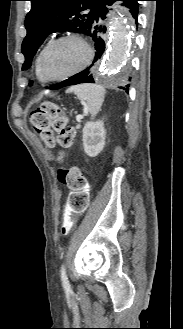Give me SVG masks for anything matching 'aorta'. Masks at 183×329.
Wrapping results in <instances>:
<instances>
[{
	"label": "aorta",
	"mask_w": 183,
	"mask_h": 329,
	"mask_svg": "<svg viewBox=\"0 0 183 329\" xmlns=\"http://www.w3.org/2000/svg\"><path fill=\"white\" fill-rule=\"evenodd\" d=\"M130 18L120 11L116 13L110 29L108 52L102 64V75L110 81L122 79V70L130 46Z\"/></svg>",
	"instance_id": "1"
}]
</instances>
